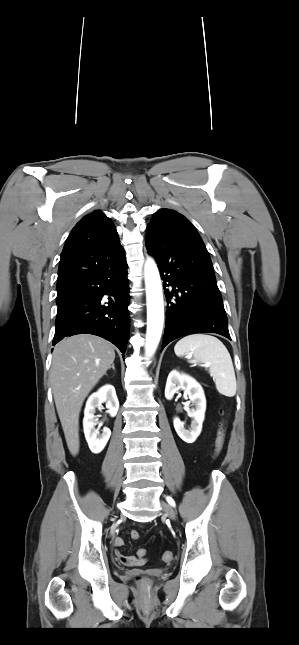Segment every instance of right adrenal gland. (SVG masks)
Wrapping results in <instances>:
<instances>
[{
  "mask_svg": "<svg viewBox=\"0 0 299 645\" xmlns=\"http://www.w3.org/2000/svg\"><path fill=\"white\" fill-rule=\"evenodd\" d=\"M111 368H112L113 370H115V366H114V364H112Z\"/></svg>",
  "mask_w": 299,
  "mask_h": 645,
  "instance_id": "right-adrenal-gland-1",
  "label": "right adrenal gland"
}]
</instances>
